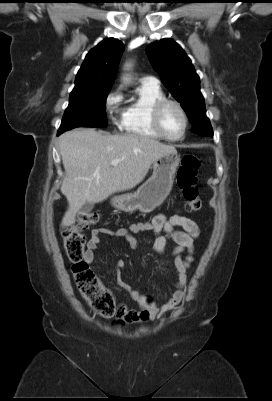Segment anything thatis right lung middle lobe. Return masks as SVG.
<instances>
[{"mask_svg": "<svg viewBox=\"0 0 272 401\" xmlns=\"http://www.w3.org/2000/svg\"><path fill=\"white\" fill-rule=\"evenodd\" d=\"M110 89L88 91L70 96L58 134L75 127H106L105 104Z\"/></svg>", "mask_w": 272, "mask_h": 401, "instance_id": "1", "label": "right lung middle lobe"}]
</instances>
